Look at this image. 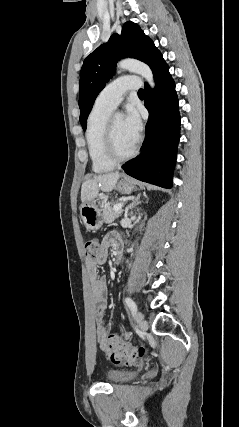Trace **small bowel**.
<instances>
[{"instance_id": "1", "label": "small bowel", "mask_w": 239, "mask_h": 427, "mask_svg": "<svg viewBox=\"0 0 239 427\" xmlns=\"http://www.w3.org/2000/svg\"><path fill=\"white\" fill-rule=\"evenodd\" d=\"M118 243H121L119 234L117 232L108 233L101 242L96 258L86 262L90 308L96 321L98 344L101 349L106 350V356L109 359L111 357L107 350V331L102 323L103 311L106 305V284L104 278L99 277L97 267L106 262L109 248L116 247Z\"/></svg>"}]
</instances>
